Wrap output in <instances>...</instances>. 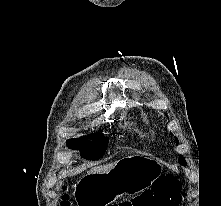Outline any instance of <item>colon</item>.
Wrapping results in <instances>:
<instances>
[{
  "mask_svg": "<svg viewBox=\"0 0 221 206\" xmlns=\"http://www.w3.org/2000/svg\"><path fill=\"white\" fill-rule=\"evenodd\" d=\"M181 201L180 187L168 177L155 181L153 187L145 190L132 201H122L114 206H179ZM61 206H71L70 196L64 193Z\"/></svg>",
  "mask_w": 221,
  "mask_h": 206,
  "instance_id": "1",
  "label": "colon"
}]
</instances>
